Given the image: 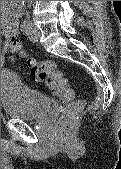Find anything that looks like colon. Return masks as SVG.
<instances>
[{
  "mask_svg": "<svg viewBox=\"0 0 121 169\" xmlns=\"http://www.w3.org/2000/svg\"><path fill=\"white\" fill-rule=\"evenodd\" d=\"M5 40L7 44H2V49H8L12 52H19L21 50V43L18 39L17 32L7 31L5 33ZM28 65L31 69L32 78L37 82L44 83L52 94L58 96L66 103L64 114L53 129V137L57 141H66L71 134L72 120L82 110L83 103L73 100L74 93L67 79L57 69L53 61L28 59Z\"/></svg>",
  "mask_w": 121,
  "mask_h": 169,
  "instance_id": "obj_1",
  "label": "colon"
}]
</instances>
